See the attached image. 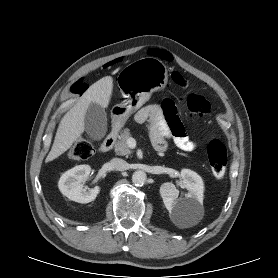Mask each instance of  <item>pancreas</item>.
Returning <instances> with one entry per match:
<instances>
[{
    "instance_id": "1",
    "label": "pancreas",
    "mask_w": 278,
    "mask_h": 278,
    "mask_svg": "<svg viewBox=\"0 0 278 278\" xmlns=\"http://www.w3.org/2000/svg\"><path fill=\"white\" fill-rule=\"evenodd\" d=\"M131 133L129 129H124L119 137L118 142L115 144V153L117 155H122L128 157L132 151L127 144V140L131 138Z\"/></svg>"
}]
</instances>
